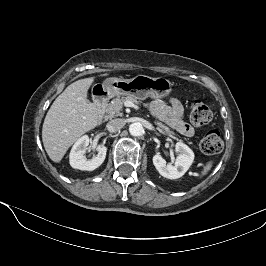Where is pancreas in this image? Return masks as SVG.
Segmentation results:
<instances>
[{
	"label": "pancreas",
	"instance_id": "cf45deb5",
	"mask_svg": "<svg viewBox=\"0 0 266 266\" xmlns=\"http://www.w3.org/2000/svg\"><path fill=\"white\" fill-rule=\"evenodd\" d=\"M126 101H132L133 103H138L139 102L135 97L130 96V95H128L126 97L117 96L116 98H114L111 102H109L106 105L105 111L108 114V117L112 118L114 116H121L122 115L123 104ZM154 123L159 128H162L165 132H167L169 134H173V132L170 130V128L165 126L161 122L155 121Z\"/></svg>",
	"mask_w": 266,
	"mask_h": 266
}]
</instances>
